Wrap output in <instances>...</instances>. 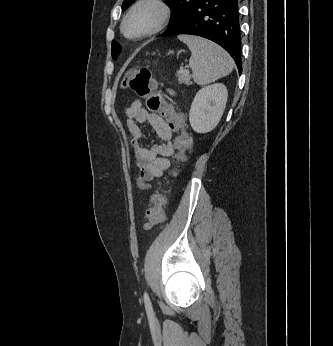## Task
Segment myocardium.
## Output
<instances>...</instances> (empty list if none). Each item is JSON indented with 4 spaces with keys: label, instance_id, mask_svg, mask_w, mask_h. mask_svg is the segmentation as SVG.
Wrapping results in <instances>:
<instances>
[{
    "label": "myocardium",
    "instance_id": "f54148a6",
    "mask_svg": "<svg viewBox=\"0 0 333 346\" xmlns=\"http://www.w3.org/2000/svg\"><path fill=\"white\" fill-rule=\"evenodd\" d=\"M144 5H151L158 9L159 11L158 21L152 28H150L147 31H144L136 35L127 34L125 30V25L127 20L138 8ZM171 15H172L171 7L166 0H137L124 15L121 21L120 31L124 37L129 39H141V38L149 37L160 32L162 29H164L166 25L169 23L171 19Z\"/></svg>",
    "mask_w": 333,
    "mask_h": 346
}]
</instances>
